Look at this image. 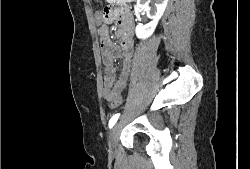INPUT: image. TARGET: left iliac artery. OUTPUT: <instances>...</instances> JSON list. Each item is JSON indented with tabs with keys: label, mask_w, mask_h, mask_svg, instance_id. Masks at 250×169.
Returning <instances> with one entry per match:
<instances>
[{
	"label": "left iliac artery",
	"mask_w": 250,
	"mask_h": 169,
	"mask_svg": "<svg viewBox=\"0 0 250 169\" xmlns=\"http://www.w3.org/2000/svg\"><path fill=\"white\" fill-rule=\"evenodd\" d=\"M120 114H115L110 120H109V128H112L115 123L117 122L118 118H119Z\"/></svg>",
	"instance_id": "1"
}]
</instances>
